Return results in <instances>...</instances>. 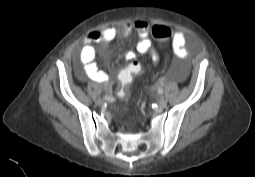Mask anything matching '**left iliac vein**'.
Listing matches in <instances>:
<instances>
[{"instance_id":"4c4485c4","label":"left iliac vein","mask_w":255,"mask_h":177,"mask_svg":"<svg viewBox=\"0 0 255 177\" xmlns=\"http://www.w3.org/2000/svg\"><path fill=\"white\" fill-rule=\"evenodd\" d=\"M157 104L160 109H163L167 106V101L164 98H160Z\"/></svg>"}]
</instances>
